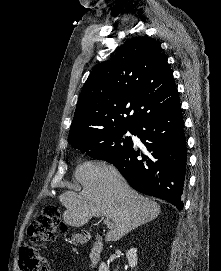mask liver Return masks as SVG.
Instances as JSON below:
<instances>
[{
    "label": "liver",
    "instance_id": "6515ba94",
    "mask_svg": "<svg viewBox=\"0 0 221 271\" xmlns=\"http://www.w3.org/2000/svg\"><path fill=\"white\" fill-rule=\"evenodd\" d=\"M82 191H66L60 195L66 209L63 219L68 225L82 227L91 217L108 215L114 225L106 233V241H117L128 231L152 221L161 211L160 205L130 187L114 165L83 161L75 169Z\"/></svg>",
    "mask_w": 221,
    "mask_h": 271
}]
</instances>
